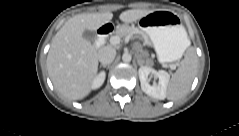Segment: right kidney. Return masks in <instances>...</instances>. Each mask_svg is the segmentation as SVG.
Returning <instances> with one entry per match:
<instances>
[{
  "label": "right kidney",
  "mask_w": 239,
  "mask_h": 136,
  "mask_svg": "<svg viewBox=\"0 0 239 136\" xmlns=\"http://www.w3.org/2000/svg\"><path fill=\"white\" fill-rule=\"evenodd\" d=\"M106 74L105 72H100L93 80L92 82V89H97L100 86H102V84L104 83Z\"/></svg>",
  "instance_id": "obj_1"
}]
</instances>
